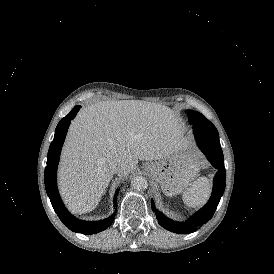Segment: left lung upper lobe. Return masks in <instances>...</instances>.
I'll return each mask as SVG.
<instances>
[{
  "label": "left lung upper lobe",
  "mask_w": 274,
  "mask_h": 274,
  "mask_svg": "<svg viewBox=\"0 0 274 274\" xmlns=\"http://www.w3.org/2000/svg\"><path fill=\"white\" fill-rule=\"evenodd\" d=\"M189 119H195L196 122L200 123L202 126H213V124L207 120L201 113L193 111V110H187Z\"/></svg>",
  "instance_id": "5c2ea615"
}]
</instances>
